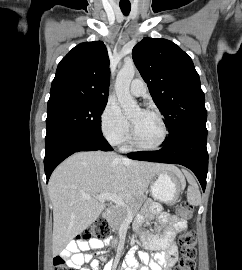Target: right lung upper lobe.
Masks as SVG:
<instances>
[{
	"label": "right lung upper lobe",
	"instance_id": "cb5924a9",
	"mask_svg": "<svg viewBox=\"0 0 242 270\" xmlns=\"http://www.w3.org/2000/svg\"><path fill=\"white\" fill-rule=\"evenodd\" d=\"M109 82V57L104 43H81L58 64L48 105L66 101H107Z\"/></svg>",
	"mask_w": 242,
	"mask_h": 270
}]
</instances>
